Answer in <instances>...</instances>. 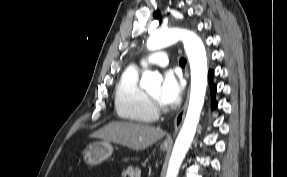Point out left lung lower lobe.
Instances as JSON below:
<instances>
[{
	"mask_svg": "<svg viewBox=\"0 0 287 177\" xmlns=\"http://www.w3.org/2000/svg\"><path fill=\"white\" fill-rule=\"evenodd\" d=\"M212 76H213V71L209 70V86L211 90V96H212V109L217 107V102L214 99V94L216 92V85L212 82Z\"/></svg>",
	"mask_w": 287,
	"mask_h": 177,
	"instance_id": "left-lung-lower-lobe-1",
	"label": "left lung lower lobe"
}]
</instances>
